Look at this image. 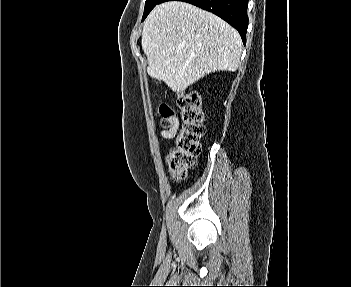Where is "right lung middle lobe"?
Returning <instances> with one entry per match:
<instances>
[{
    "instance_id": "1",
    "label": "right lung middle lobe",
    "mask_w": 351,
    "mask_h": 287,
    "mask_svg": "<svg viewBox=\"0 0 351 287\" xmlns=\"http://www.w3.org/2000/svg\"><path fill=\"white\" fill-rule=\"evenodd\" d=\"M160 0H146L145 9L142 20H144L151 10L159 3Z\"/></svg>"
}]
</instances>
